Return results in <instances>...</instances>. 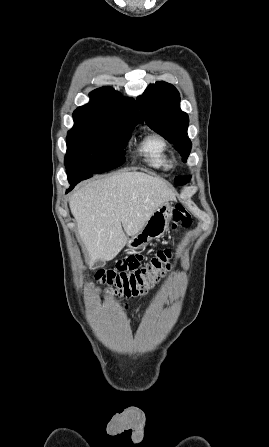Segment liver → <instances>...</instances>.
Returning a JSON list of instances; mask_svg holds the SVG:
<instances>
[{"mask_svg": "<svg viewBox=\"0 0 269 447\" xmlns=\"http://www.w3.org/2000/svg\"><path fill=\"white\" fill-rule=\"evenodd\" d=\"M175 196L166 180L125 170L75 190L69 206L87 247L90 267L94 261L116 257L129 235L138 233L155 210L176 200Z\"/></svg>", "mask_w": 269, "mask_h": 447, "instance_id": "6515ba94", "label": "liver"}]
</instances>
